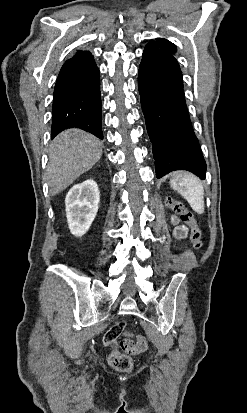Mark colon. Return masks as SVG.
<instances>
[{
    "label": "colon",
    "mask_w": 247,
    "mask_h": 413,
    "mask_svg": "<svg viewBox=\"0 0 247 413\" xmlns=\"http://www.w3.org/2000/svg\"><path fill=\"white\" fill-rule=\"evenodd\" d=\"M164 203L175 213L176 217H180L181 222L190 230L193 247L197 250L201 249L202 233L198 229L192 213L186 208L185 204L172 198H166ZM119 340H121V342H130L132 349L130 351H123V353H114L113 351L109 355V363L117 371L127 372L132 368V359L127 358L125 353L130 355H145L147 352V344L142 334H137L136 338H134L132 332H127L125 337H119Z\"/></svg>",
    "instance_id": "obj_1"
}]
</instances>
